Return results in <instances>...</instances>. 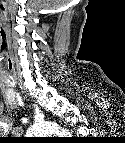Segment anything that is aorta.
I'll use <instances>...</instances> for the list:
<instances>
[{"label": "aorta", "mask_w": 125, "mask_h": 143, "mask_svg": "<svg viewBox=\"0 0 125 143\" xmlns=\"http://www.w3.org/2000/svg\"><path fill=\"white\" fill-rule=\"evenodd\" d=\"M52 133L65 135L68 132L64 129H61L56 123L53 122L35 123L29 130V134L34 136H46Z\"/></svg>", "instance_id": "1"}]
</instances>
